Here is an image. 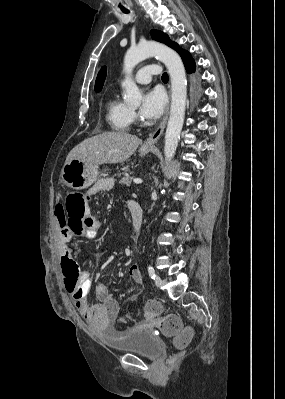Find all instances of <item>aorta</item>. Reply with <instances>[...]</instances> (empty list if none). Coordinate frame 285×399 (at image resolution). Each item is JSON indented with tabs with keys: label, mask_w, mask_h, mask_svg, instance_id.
I'll list each match as a JSON object with an SVG mask.
<instances>
[{
	"label": "aorta",
	"mask_w": 285,
	"mask_h": 399,
	"mask_svg": "<svg viewBox=\"0 0 285 399\" xmlns=\"http://www.w3.org/2000/svg\"><path fill=\"white\" fill-rule=\"evenodd\" d=\"M152 56L165 64L171 78L172 100L164 144V155L168 164L175 155L185 116L187 81L180 56L171 48L155 41L142 42L128 49L124 57L126 76L122 82L125 89L123 99L127 105H140L142 94L132 79V71L138 63Z\"/></svg>",
	"instance_id": "aorta-1"
}]
</instances>
